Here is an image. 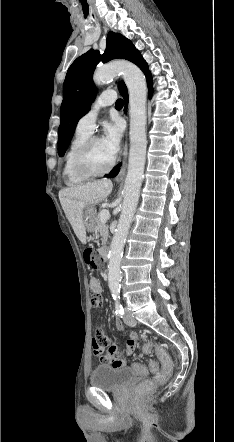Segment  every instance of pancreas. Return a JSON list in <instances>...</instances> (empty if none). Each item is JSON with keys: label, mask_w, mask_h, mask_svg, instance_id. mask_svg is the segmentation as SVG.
<instances>
[{"label": "pancreas", "mask_w": 234, "mask_h": 442, "mask_svg": "<svg viewBox=\"0 0 234 442\" xmlns=\"http://www.w3.org/2000/svg\"><path fill=\"white\" fill-rule=\"evenodd\" d=\"M100 212L96 215L95 218V230L100 234V236L102 237V244L105 245L109 237V232L107 224L105 222H101L100 220Z\"/></svg>", "instance_id": "pancreas-1"}]
</instances>
